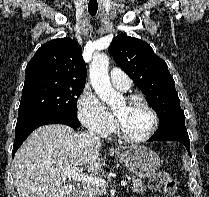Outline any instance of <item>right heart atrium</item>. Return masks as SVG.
<instances>
[{"instance_id":"obj_1","label":"right heart atrium","mask_w":209,"mask_h":197,"mask_svg":"<svg viewBox=\"0 0 209 197\" xmlns=\"http://www.w3.org/2000/svg\"><path fill=\"white\" fill-rule=\"evenodd\" d=\"M77 114L81 123L91 132L106 136L114 127V118L98 97L84 89L77 101Z\"/></svg>"}]
</instances>
